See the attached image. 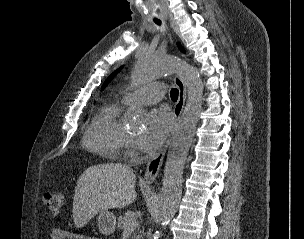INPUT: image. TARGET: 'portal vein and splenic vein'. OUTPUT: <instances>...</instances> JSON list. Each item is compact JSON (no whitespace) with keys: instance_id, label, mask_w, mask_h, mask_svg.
Instances as JSON below:
<instances>
[{"instance_id":"obj_1","label":"portal vein and splenic vein","mask_w":304,"mask_h":239,"mask_svg":"<svg viewBox=\"0 0 304 239\" xmlns=\"http://www.w3.org/2000/svg\"><path fill=\"white\" fill-rule=\"evenodd\" d=\"M137 225H138V221L134 220L131 222L129 227L125 228V230H134V228H136Z\"/></svg>"}]
</instances>
